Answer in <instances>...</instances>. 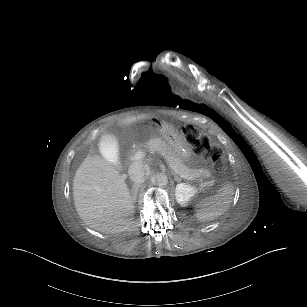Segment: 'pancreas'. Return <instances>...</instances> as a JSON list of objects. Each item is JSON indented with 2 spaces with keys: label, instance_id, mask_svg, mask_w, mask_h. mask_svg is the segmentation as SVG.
<instances>
[{
  "label": "pancreas",
  "instance_id": "obj_1",
  "mask_svg": "<svg viewBox=\"0 0 307 307\" xmlns=\"http://www.w3.org/2000/svg\"><path fill=\"white\" fill-rule=\"evenodd\" d=\"M148 149L151 153H158L162 156H164L165 159H169V151H168V147L167 144L165 142V140L161 139V138H153L151 140L148 141L147 143ZM176 165H180L178 160H174ZM208 171L207 170H202L199 169L196 172L192 171L189 173V177L192 180L197 179V177L202 178V177H207L208 176Z\"/></svg>",
  "mask_w": 307,
  "mask_h": 307
}]
</instances>
